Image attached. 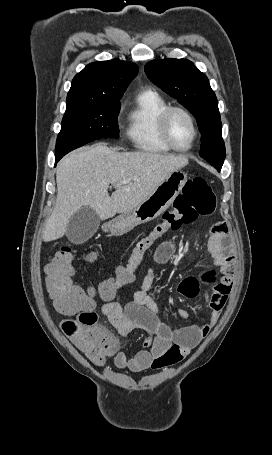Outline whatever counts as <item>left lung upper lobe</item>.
<instances>
[{
    "mask_svg": "<svg viewBox=\"0 0 272 455\" xmlns=\"http://www.w3.org/2000/svg\"><path fill=\"white\" fill-rule=\"evenodd\" d=\"M148 78L196 118L201 132L200 156L225 159L218 102L206 75L187 59H156L145 65Z\"/></svg>",
    "mask_w": 272,
    "mask_h": 455,
    "instance_id": "5c2ea615",
    "label": "left lung upper lobe"
}]
</instances>
